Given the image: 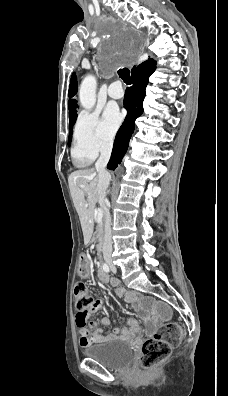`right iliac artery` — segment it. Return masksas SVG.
Returning <instances> with one entry per match:
<instances>
[{"mask_svg":"<svg viewBox=\"0 0 228 396\" xmlns=\"http://www.w3.org/2000/svg\"><path fill=\"white\" fill-rule=\"evenodd\" d=\"M103 270H104L106 273H108V272L110 271L109 266H108L106 263L103 264Z\"/></svg>","mask_w":228,"mask_h":396,"instance_id":"1","label":"right iliac artery"}]
</instances>
